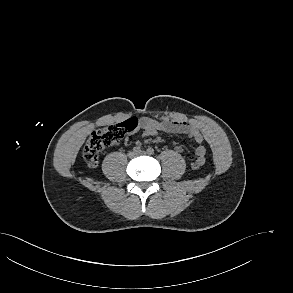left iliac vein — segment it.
<instances>
[{
    "mask_svg": "<svg viewBox=\"0 0 293 293\" xmlns=\"http://www.w3.org/2000/svg\"><path fill=\"white\" fill-rule=\"evenodd\" d=\"M145 154H146L145 151H140V152L138 153V155H145Z\"/></svg>",
    "mask_w": 293,
    "mask_h": 293,
    "instance_id": "4c4485c4",
    "label": "left iliac vein"
}]
</instances>
